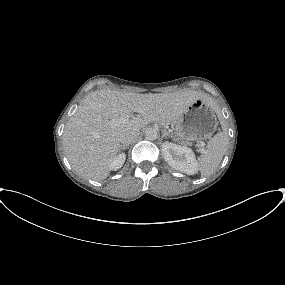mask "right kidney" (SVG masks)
Listing matches in <instances>:
<instances>
[{"mask_svg":"<svg viewBox=\"0 0 285 285\" xmlns=\"http://www.w3.org/2000/svg\"><path fill=\"white\" fill-rule=\"evenodd\" d=\"M126 160V155L124 153L119 154L115 158H113L112 162L110 163L111 170H118L120 169Z\"/></svg>","mask_w":285,"mask_h":285,"instance_id":"obj_1","label":"right kidney"}]
</instances>
